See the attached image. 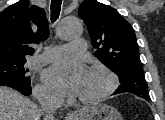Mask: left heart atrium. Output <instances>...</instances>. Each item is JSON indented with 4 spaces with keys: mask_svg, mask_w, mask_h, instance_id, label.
<instances>
[{
    "mask_svg": "<svg viewBox=\"0 0 165 120\" xmlns=\"http://www.w3.org/2000/svg\"><path fill=\"white\" fill-rule=\"evenodd\" d=\"M87 75V69L79 62L56 64L44 73L48 85L65 95H77Z\"/></svg>",
    "mask_w": 165,
    "mask_h": 120,
    "instance_id": "39dd6f15",
    "label": "left heart atrium"
}]
</instances>
